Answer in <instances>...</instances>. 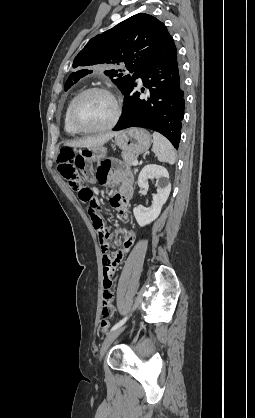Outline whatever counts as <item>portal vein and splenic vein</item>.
Returning <instances> with one entry per match:
<instances>
[{
	"label": "portal vein and splenic vein",
	"mask_w": 255,
	"mask_h": 418,
	"mask_svg": "<svg viewBox=\"0 0 255 418\" xmlns=\"http://www.w3.org/2000/svg\"><path fill=\"white\" fill-rule=\"evenodd\" d=\"M132 165L137 166L138 165V160L133 161Z\"/></svg>",
	"instance_id": "obj_1"
}]
</instances>
